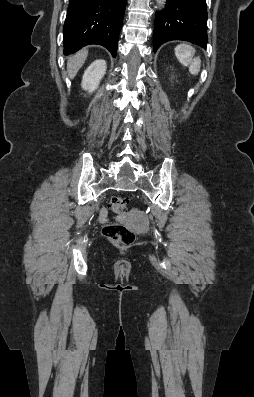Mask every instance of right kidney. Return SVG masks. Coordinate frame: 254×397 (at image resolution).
I'll return each instance as SVG.
<instances>
[{
  "instance_id": "ca27d5eb",
  "label": "right kidney",
  "mask_w": 254,
  "mask_h": 397,
  "mask_svg": "<svg viewBox=\"0 0 254 397\" xmlns=\"http://www.w3.org/2000/svg\"><path fill=\"white\" fill-rule=\"evenodd\" d=\"M106 68L105 60L99 59L94 61L84 72L81 84L82 88L89 93L97 89L100 80L106 72Z\"/></svg>"
}]
</instances>
